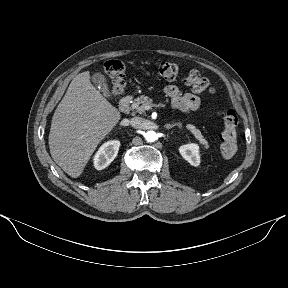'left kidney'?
Wrapping results in <instances>:
<instances>
[{
	"mask_svg": "<svg viewBox=\"0 0 288 288\" xmlns=\"http://www.w3.org/2000/svg\"><path fill=\"white\" fill-rule=\"evenodd\" d=\"M182 157L188 161L192 166L200 165L199 146L194 143L183 145L179 148Z\"/></svg>",
	"mask_w": 288,
	"mask_h": 288,
	"instance_id": "obj_1",
	"label": "left kidney"
}]
</instances>
